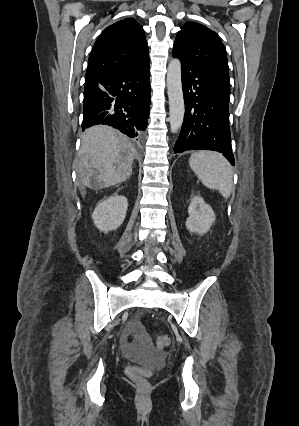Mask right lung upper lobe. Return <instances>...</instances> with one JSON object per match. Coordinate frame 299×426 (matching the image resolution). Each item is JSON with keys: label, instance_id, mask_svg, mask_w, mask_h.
Returning a JSON list of instances; mask_svg holds the SVG:
<instances>
[{"label": "right lung upper lobe", "instance_id": "obj_1", "mask_svg": "<svg viewBox=\"0 0 299 426\" xmlns=\"http://www.w3.org/2000/svg\"><path fill=\"white\" fill-rule=\"evenodd\" d=\"M148 63L144 30L135 19L126 18L108 26L98 37L85 79L141 68Z\"/></svg>", "mask_w": 299, "mask_h": 426}]
</instances>
